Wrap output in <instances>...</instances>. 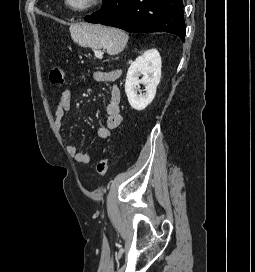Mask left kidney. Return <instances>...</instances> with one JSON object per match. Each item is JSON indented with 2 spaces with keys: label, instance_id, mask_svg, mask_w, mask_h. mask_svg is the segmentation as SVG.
<instances>
[{
  "label": "left kidney",
  "instance_id": "left-kidney-1",
  "mask_svg": "<svg viewBox=\"0 0 255 272\" xmlns=\"http://www.w3.org/2000/svg\"><path fill=\"white\" fill-rule=\"evenodd\" d=\"M143 75L141 79L139 76ZM161 78V57L156 49L145 51L130 65L125 82V92L132 108L144 110L154 99ZM145 93L138 94L139 85Z\"/></svg>",
  "mask_w": 255,
  "mask_h": 272
}]
</instances>
